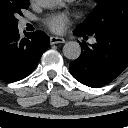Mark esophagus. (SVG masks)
<instances>
[{"label":"esophagus","mask_w":128,"mask_h":128,"mask_svg":"<svg viewBox=\"0 0 128 128\" xmlns=\"http://www.w3.org/2000/svg\"><path fill=\"white\" fill-rule=\"evenodd\" d=\"M65 39L62 37H57V36H51L50 37V44H58V43H64Z\"/></svg>","instance_id":"esophagus-1"}]
</instances>
